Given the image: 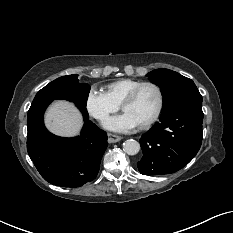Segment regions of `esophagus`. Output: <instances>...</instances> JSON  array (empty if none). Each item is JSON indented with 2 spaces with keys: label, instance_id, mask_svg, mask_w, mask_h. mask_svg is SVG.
<instances>
[{
  "label": "esophagus",
  "instance_id": "1",
  "mask_svg": "<svg viewBox=\"0 0 233 233\" xmlns=\"http://www.w3.org/2000/svg\"><path fill=\"white\" fill-rule=\"evenodd\" d=\"M121 139H122V137L119 135L112 134V133L108 134V142L109 143H116V142H119Z\"/></svg>",
  "mask_w": 233,
  "mask_h": 233
}]
</instances>
